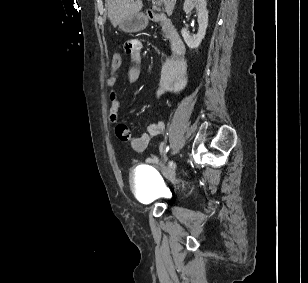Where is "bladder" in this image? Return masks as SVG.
<instances>
[{"label": "bladder", "instance_id": "31cf9c89", "mask_svg": "<svg viewBox=\"0 0 308 283\" xmlns=\"http://www.w3.org/2000/svg\"><path fill=\"white\" fill-rule=\"evenodd\" d=\"M130 185L137 198L144 203H154L167 194V187L158 172L146 166L131 171Z\"/></svg>", "mask_w": 308, "mask_h": 283}]
</instances>
